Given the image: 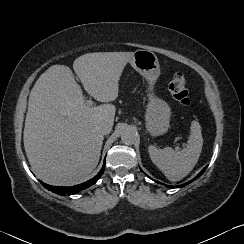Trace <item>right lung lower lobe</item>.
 Returning <instances> with one entry per match:
<instances>
[{
    "label": "right lung lower lobe",
    "instance_id": "obj_1",
    "mask_svg": "<svg viewBox=\"0 0 244 244\" xmlns=\"http://www.w3.org/2000/svg\"><path fill=\"white\" fill-rule=\"evenodd\" d=\"M104 169H105V160H104V165L102 166V169L100 170V172L95 177H93L92 179H90V180H88L82 184H79V185H76L73 187H57V186H51V185L45 184L42 181H40V182L46 189H48V190H50L56 194L73 195V194L78 193L81 190H84V189L90 187L94 183H96L100 179V177L102 176Z\"/></svg>",
    "mask_w": 244,
    "mask_h": 244
}]
</instances>
